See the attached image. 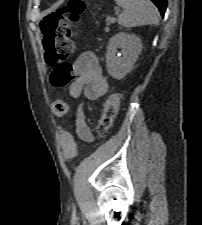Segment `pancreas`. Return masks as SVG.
<instances>
[{
    "mask_svg": "<svg viewBox=\"0 0 202 225\" xmlns=\"http://www.w3.org/2000/svg\"><path fill=\"white\" fill-rule=\"evenodd\" d=\"M106 22H107V24H109L111 22V20L109 18H107Z\"/></svg>",
    "mask_w": 202,
    "mask_h": 225,
    "instance_id": "cf45deb5",
    "label": "pancreas"
}]
</instances>
